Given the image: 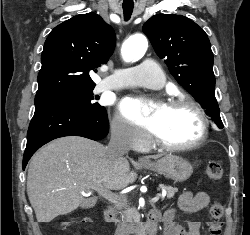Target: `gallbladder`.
<instances>
[{
	"instance_id": "gallbladder-1",
	"label": "gallbladder",
	"mask_w": 250,
	"mask_h": 235,
	"mask_svg": "<svg viewBox=\"0 0 250 235\" xmlns=\"http://www.w3.org/2000/svg\"><path fill=\"white\" fill-rule=\"evenodd\" d=\"M83 207H87V205H86V204H84V205H83Z\"/></svg>"
}]
</instances>
